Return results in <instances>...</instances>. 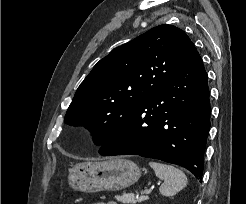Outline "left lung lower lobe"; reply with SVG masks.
I'll return each mask as SVG.
<instances>
[{
	"label": "left lung lower lobe",
	"instance_id": "obj_1",
	"mask_svg": "<svg viewBox=\"0 0 246 204\" xmlns=\"http://www.w3.org/2000/svg\"><path fill=\"white\" fill-rule=\"evenodd\" d=\"M209 129L207 73L196 51L122 121L99 154L155 158L180 165L201 178Z\"/></svg>",
	"mask_w": 246,
	"mask_h": 204
}]
</instances>
